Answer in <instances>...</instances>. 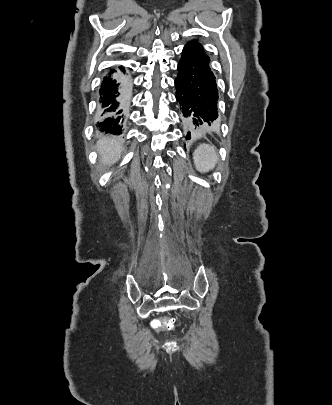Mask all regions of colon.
<instances>
[{
  "label": "colon",
  "instance_id": "obj_1",
  "mask_svg": "<svg viewBox=\"0 0 332 405\" xmlns=\"http://www.w3.org/2000/svg\"><path fill=\"white\" fill-rule=\"evenodd\" d=\"M155 322L159 324V327L163 328V329H171L172 328V324L168 321L162 322V317L161 316H156L155 317Z\"/></svg>",
  "mask_w": 332,
  "mask_h": 405
}]
</instances>
